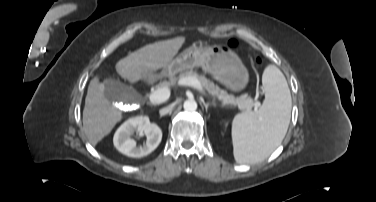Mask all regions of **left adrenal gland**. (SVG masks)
<instances>
[{
	"label": "left adrenal gland",
	"mask_w": 376,
	"mask_h": 202,
	"mask_svg": "<svg viewBox=\"0 0 376 202\" xmlns=\"http://www.w3.org/2000/svg\"><path fill=\"white\" fill-rule=\"evenodd\" d=\"M209 105H210L209 103L203 102V106L205 107L206 112L208 111Z\"/></svg>",
	"instance_id": "a2214340"
}]
</instances>
